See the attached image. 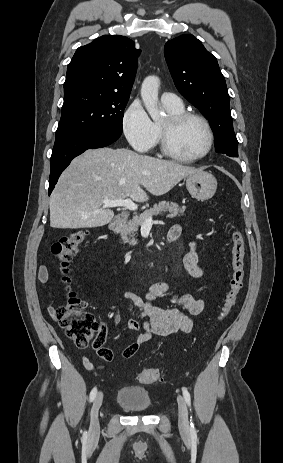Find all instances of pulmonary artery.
<instances>
[{
	"instance_id": "1",
	"label": "pulmonary artery",
	"mask_w": 283,
	"mask_h": 463,
	"mask_svg": "<svg viewBox=\"0 0 283 463\" xmlns=\"http://www.w3.org/2000/svg\"><path fill=\"white\" fill-rule=\"evenodd\" d=\"M161 101L170 106H180L182 104L180 98L172 92H164L161 95Z\"/></svg>"
}]
</instances>
